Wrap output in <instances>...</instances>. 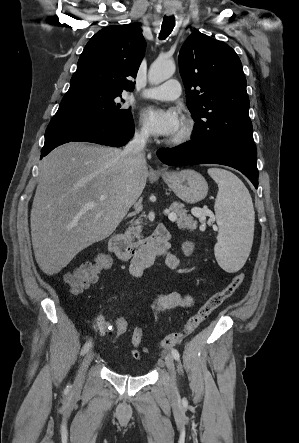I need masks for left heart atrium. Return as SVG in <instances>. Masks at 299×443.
Masks as SVG:
<instances>
[{"instance_id": "1", "label": "left heart atrium", "mask_w": 299, "mask_h": 443, "mask_svg": "<svg viewBox=\"0 0 299 443\" xmlns=\"http://www.w3.org/2000/svg\"><path fill=\"white\" fill-rule=\"evenodd\" d=\"M141 121L152 134L161 137H171L181 127L180 116L172 108L148 107L141 112Z\"/></svg>"}]
</instances>
